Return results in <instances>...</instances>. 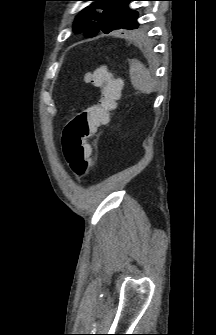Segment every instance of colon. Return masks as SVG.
Wrapping results in <instances>:
<instances>
[{"instance_id":"colon-1","label":"colon","mask_w":216,"mask_h":335,"mask_svg":"<svg viewBox=\"0 0 216 335\" xmlns=\"http://www.w3.org/2000/svg\"><path fill=\"white\" fill-rule=\"evenodd\" d=\"M90 80L101 89L99 101L76 113L61 136L65 161L78 177L86 176L93 166L92 149L87 139L95 134L99 126L109 121L123 87V80L113 77L104 66L90 73Z\"/></svg>"}]
</instances>
